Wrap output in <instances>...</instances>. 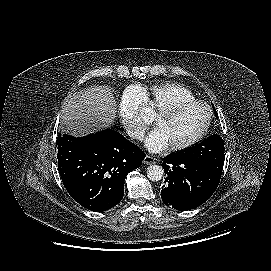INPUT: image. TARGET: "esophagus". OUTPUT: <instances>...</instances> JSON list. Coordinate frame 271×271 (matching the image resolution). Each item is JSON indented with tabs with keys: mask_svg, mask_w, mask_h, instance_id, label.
<instances>
[{
	"mask_svg": "<svg viewBox=\"0 0 271 271\" xmlns=\"http://www.w3.org/2000/svg\"><path fill=\"white\" fill-rule=\"evenodd\" d=\"M143 162L147 165H152V164L159 163V159L147 155L145 156Z\"/></svg>",
	"mask_w": 271,
	"mask_h": 271,
	"instance_id": "34e87169",
	"label": "esophagus"
}]
</instances>
